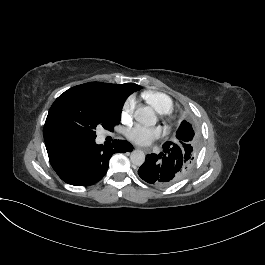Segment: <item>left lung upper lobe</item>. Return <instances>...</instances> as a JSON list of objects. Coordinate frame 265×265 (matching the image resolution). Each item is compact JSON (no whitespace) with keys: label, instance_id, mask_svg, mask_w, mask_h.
Returning <instances> with one entry per match:
<instances>
[{"label":"left lung upper lobe","instance_id":"left-lung-upper-lobe-1","mask_svg":"<svg viewBox=\"0 0 265 265\" xmlns=\"http://www.w3.org/2000/svg\"><path fill=\"white\" fill-rule=\"evenodd\" d=\"M166 143L171 146L175 145V148L183 155V172L186 175L194 166L200 146V135L189 122L182 121L174 141Z\"/></svg>","mask_w":265,"mask_h":265}]
</instances>
